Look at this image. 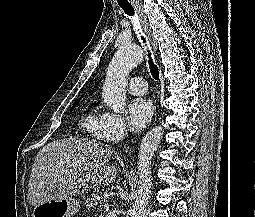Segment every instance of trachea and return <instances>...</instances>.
Instances as JSON below:
<instances>
[{
	"label": "trachea",
	"mask_w": 255,
	"mask_h": 217,
	"mask_svg": "<svg viewBox=\"0 0 255 217\" xmlns=\"http://www.w3.org/2000/svg\"><path fill=\"white\" fill-rule=\"evenodd\" d=\"M119 6L123 9V11L127 15H129V16H133L134 15V9H133V7H132V5L130 3L119 4ZM142 40H143L144 43L146 42L143 36H142ZM147 52H148V58H149L148 64H149L150 73H151L152 77L155 80H158L159 79V70H158V67L153 62V59L151 57V52L149 50H147Z\"/></svg>",
	"instance_id": "3493384b"
}]
</instances>
